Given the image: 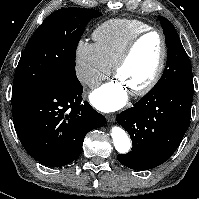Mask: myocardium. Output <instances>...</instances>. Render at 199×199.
Instances as JSON below:
<instances>
[{
    "label": "myocardium",
    "instance_id": "obj_1",
    "mask_svg": "<svg viewBox=\"0 0 199 199\" xmlns=\"http://www.w3.org/2000/svg\"><path fill=\"white\" fill-rule=\"evenodd\" d=\"M150 34H156L160 38L161 42V55L158 62V65L155 69V72L153 73L152 77L142 86L139 88L133 89L131 92L134 96H144L148 94L150 91H152L155 86L158 84V82L161 79V76L164 72L167 56H168V44L166 41V38L162 31H160L157 28H149L141 33L137 34L135 37H133L127 45L123 48V50L120 52V54L117 56L113 63V74L115 77H117L119 69L121 66L127 61V59L130 57L132 52L134 51L137 44L146 36Z\"/></svg>",
    "mask_w": 199,
    "mask_h": 199
}]
</instances>
